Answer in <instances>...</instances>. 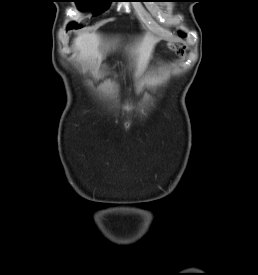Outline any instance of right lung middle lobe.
Here are the masks:
<instances>
[{"label":"right lung middle lobe","mask_w":258,"mask_h":275,"mask_svg":"<svg viewBox=\"0 0 258 275\" xmlns=\"http://www.w3.org/2000/svg\"><path fill=\"white\" fill-rule=\"evenodd\" d=\"M75 1L78 5V8L82 11H86L90 9L93 5H95V8L93 10L94 14H98L102 12L108 6V3L111 2V0H75ZM69 27L71 29L80 28V26L75 23L70 24Z\"/></svg>","instance_id":"obj_1"}]
</instances>
